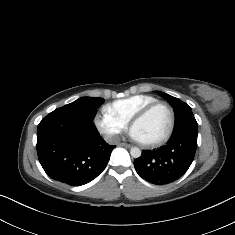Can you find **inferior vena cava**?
<instances>
[{
	"label": "inferior vena cava",
	"instance_id": "1",
	"mask_svg": "<svg viewBox=\"0 0 235 235\" xmlns=\"http://www.w3.org/2000/svg\"><path fill=\"white\" fill-rule=\"evenodd\" d=\"M120 138L118 135H111V136H106V142L109 144H117L119 143Z\"/></svg>",
	"mask_w": 235,
	"mask_h": 235
}]
</instances>
